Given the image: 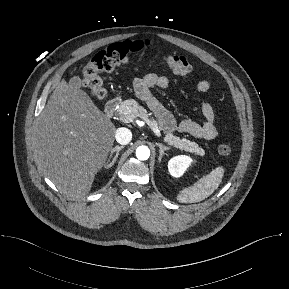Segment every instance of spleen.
Returning a JSON list of instances; mask_svg holds the SVG:
<instances>
[{
  "instance_id": "spleen-1",
  "label": "spleen",
  "mask_w": 289,
  "mask_h": 289,
  "mask_svg": "<svg viewBox=\"0 0 289 289\" xmlns=\"http://www.w3.org/2000/svg\"><path fill=\"white\" fill-rule=\"evenodd\" d=\"M223 176L224 168L222 166L213 169L194 185L184 188L177 196V200L182 203H194L204 200L219 187Z\"/></svg>"
}]
</instances>
